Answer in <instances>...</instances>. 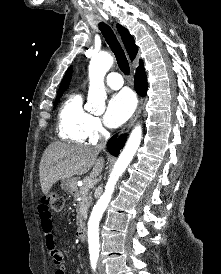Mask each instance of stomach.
Masks as SVG:
<instances>
[{
	"instance_id": "obj_1",
	"label": "stomach",
	"mask_w": 221,
	"mask_h": 274,
	"mask_svg": "<svg viewBox=\"0 0 221 274\" xmlns=\"http://www.w3.org/2000/svg\"><path fill=\"white\" fill-rule=\"evenodd\" d=\"M61 188L67 193H74L77 189L76 179L68 178L61 181Z\"/></svg>"
}]
</instances>
